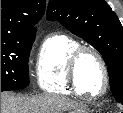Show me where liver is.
Listing matches in <instances>:
<instances>
[{
	"label": "liver",
	"instance_id": "6515ba94",
	"mask_svg": "<svg viewBox=\"0 0 123 113\" xmlns=\"http://www.w3.org/2000/svg\"><path fill=\"white\" fill-rule=\"evenodd\" d=\"M77 104L66 97L45 94L36 96L1 93V113H63L76 109Z\"/></svg>",
	"mask_w": 123,
	"mask_h": 113
}]
</instances>
